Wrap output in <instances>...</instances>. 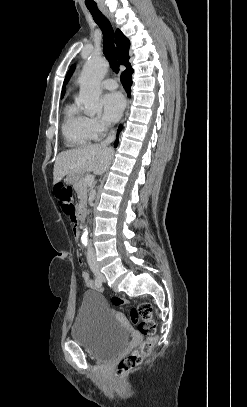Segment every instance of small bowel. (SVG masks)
Returning a JSON list of instances; mask_svg holds the SVG:
<instances>
[{"label": "small bowel", "instance_id": "obj_1", "mask_svg": "<svg viewBox=\"0 0 247 407\" xmlns=\"http://www.w3.org/2000/svg\"><path fill=\"white\" fill-rule=\"evenodd\" d=\"M68 217H69L71 222L76 223V215H75V213H73L72 215H70ZM73 232H74V236L76 238H78L79 237V231H78V229L76 227H74ZM82 277H83L85 285L87 287H93V281L90 279L89 275L86 272H84L82 274Z\"/></svg>", "mask_w": 247, "mask_h": 407}]
</instances>
